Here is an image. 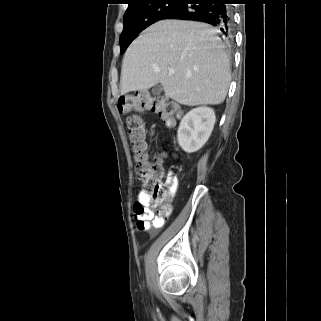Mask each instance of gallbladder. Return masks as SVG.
I'll return each mask as SVG.
<instances>
[{
  "instance_id": "bac80fb5",
  "label": "gallbladder",
  "mask_w": 321,
  "mask_h": 321,
  "mask_svg": "<svg viewBox=\"0 0 321 321\" xmlns=\"http://www.w3.org/2000/svg\"><path fill=\"white\" fill-rule=\"evenodd\" d=\"M162 92V86L160 84H156L152 88V94L153 95H159Z\"/></svg>"
}]
</instances>
